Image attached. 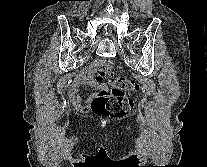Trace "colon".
<instances>
[{"mask_svg":"<svg viewBox=\"0 0 207 167\" xmlns=\"http://www.w3.org/2000/svg\"><path fill=\"white\" fill-rule=\"evenodd\" d=\"M96 82L103 86L94 97L91 107L100 116L123 117L132 109L128 92L138 88L135 81L115 75L112 62H101L93 66Z\"/></svg>","mask_w":207,"mask_h":167,"instance_id":"1","label":"colon"}]
</instances>
